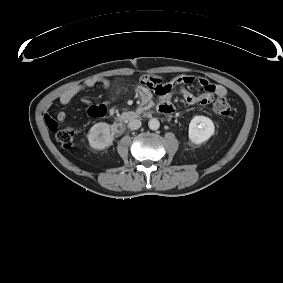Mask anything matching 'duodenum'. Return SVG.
<instances>
[{
  "instance_id": "410a0bca",
  "label": "duodenum",
  "mask_w": 283,
  "mask_h": 283,
  "mask_svg": "<svg viewBox=\"0 0 283 283\" xmlns=\"http://www.w3.org/2000/svg\"><path fill=\"white\" fill-rule=\"evenodd\" d=\"M165 113L170 114L172 113L173 109L168 108L164 110ZM151 113L150 112H144V113H139V112H126L124 113L118 120L117 126L119 129H122L124 127V124L129 121L137 120L145 116H149Z\"/></svg>"
}]
</instances>
